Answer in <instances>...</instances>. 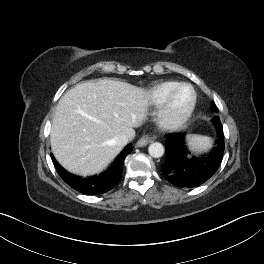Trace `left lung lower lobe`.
<instances>
[{"label":"left lung lower lobe","mask_w":264,"mask_h":264,"mask_svg":"<svg viewBox=\"0 0 264 264\" xmlns=\"http://www.w3.org/2000/svg\"><path fill=\"white\" fill-rule=\"evenodd\" d=\"M216 130L218 139L214 148L201 156L189 154L184 134L166 135V160L161 166L164 177L178 187H196L211 178L219 168L225 148L222 125L217 124Z\"/></svg>","instance_id":"obj_1"}]
</instances>
